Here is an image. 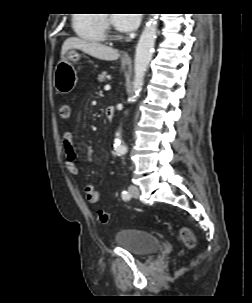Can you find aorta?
<instances>
[{"label":"aorta","mask_w":252,"mask_h":303,"mask_svg":"<svg viewBox=\"0 0 252 303\" xmlns=\"http://www.w3.org/2000/svg\"><path fill=\"white\" fill-rule=\"evenodd\" d=\"M157 25L158 16L157 14H152V17H150L146 23L136 46L134 59L133 95L131 97L132 101H135L139 96L145 73L152 58L156 40ZM114 148L118 156L125 155L127 152V147L121 139L120 131L116 133Z\"/></svg>","instance_id":"aorta-1"}]
</instances>
